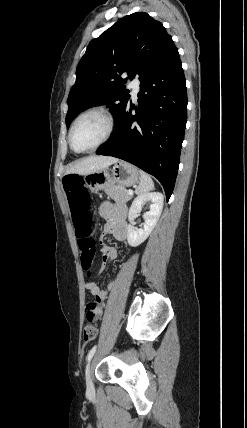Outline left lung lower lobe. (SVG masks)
Listing matches in <instances>:
<instances>
[{"mask_svg":"<svg viewBox=\"0 0 247 428\" xmlns=\"http://www.w3.org/2000/svg\"><path fill=\"white\" fill-rule=\"evenodd\" d=\"M140 81L137 107L129 101L112 139L96 153L120 158L153 175L168 201L187 122L188 100L178 49L163 56Z\"/></svg>","mask_w":247,"mask_h":428,"instance_id":"0a47b994","label":"left lung lower lobe"}]
</instances>
